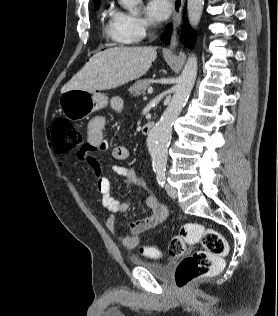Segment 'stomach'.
<instances>
[{
    "label": "stomach",
    "mask_w": 278,
    "mask_h": 316,
    "mask_svg": "<svg viewBox=\"0 0 278 316\" xmlns=\"http://www.w3.org/2000/svg\"><path fill=\"white\" fill-rule=\"evenodd\" d=\"M107 105L108 97L98 92L75 89L61 93L59 98L60 111L72 121L84 119Z\"/></svg>",
    "instance_id": "1"
}]
</instances>
